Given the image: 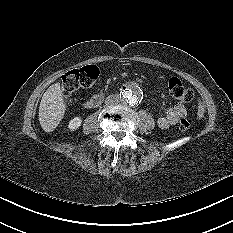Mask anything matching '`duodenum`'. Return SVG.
I'll use <instances>...</instances> for the list:
<instances>
[{
  "mask_svg": "<svg viewBox=\"0 0 233 233\" xmlns=\"http://www.w3.org/2000/svg\"><path fill=\"white\" fill-rule=\"evenodd\" d=\"M103 100V96L101 94H96L93 97H91L87 102H86V107L88 108H93L98 106Z\"/></svg>",
  "mask_w": 233,
  "mask_h": 233,
  "instance_id": "410a0bca",
  "label": "duodenum"
}]
</instances>
